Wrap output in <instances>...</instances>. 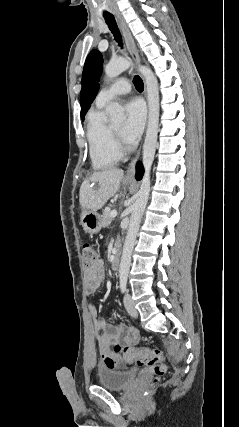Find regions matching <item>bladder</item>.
Masks as SVG:
<instances>
[{"instance_id": "obj_1", "label": "bladder", "mask_w": 239, "mask_h": 427, "mask_svg": "<svg viewBox=\"0 0 239 427\" xmlns=\"http://www.w3.org/2000/svg\"><path fill=\"white\" fill-rule=\"evenodd\" d=\"M139 376V371L131 370H116L110 368H99L98 382L101 386L113 389L124 390L132 386Z\"/></svg>"}]
</instances>
